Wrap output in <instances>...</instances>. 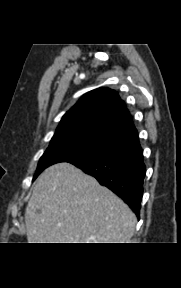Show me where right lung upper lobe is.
I'll list each match as a JSON object with an SVG mask.
<instances>
[{
	"label": "right lung upper lobe",
	"instance_id": "cb5924a9",
	"mask_svg": "<svg viewBox=\"0 0 181 288\" xmlns=\"http://www.w3.org/2000/svg\"><path fill=\"white\" fill-rule=\"evenodd\" d=\"M82 139L118 153L140 146L130 113L118 93L98 88L84 94L62 117L52 138Z\"/></svg>",
	"mask_w": 181,
	"mask_h": 288
}]
</instances>
